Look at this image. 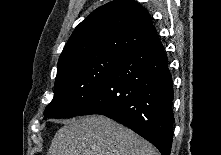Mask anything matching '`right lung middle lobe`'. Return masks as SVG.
<instances>
[{"label": "right lung middle lobe", "mask_w": 221, "mask_h": 155, "mask_svg": "<svg viewBox=\"0 0 221 155\" xmlns=\"http://www.w3.org/2000/svg\"><path fill=\"white\" fill-rule=\"evenodd\" d=\"M123 57L103 53L78 59L57 71L54 97L45 108L44 119L79 115Z\"/></svg>", "instance_id": "right-lung-middle-lobe-1"}]
</instances>
